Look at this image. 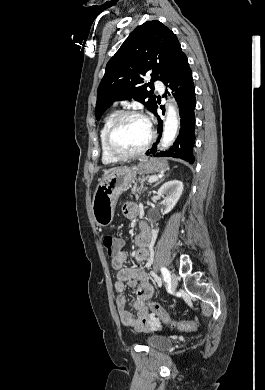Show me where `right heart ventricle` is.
Here are the masks:
<instances>
[{
    "instance_id": "e07e8e85",
    "label": "right heart ventricle",
    "mask_w": 265,
    "mask_h": 390,
    "mask_svg": "<svg viewBox=\"0 0 265 390\" xmlns=\"http://www.w3.org/2000/svg\"><path fill=\"white\" fill-rule=\"evenodd\" d=\"M118 115V111L114 110L110 112L103 121L101 130H100V147H101V160L104 164H113L119 161L116 157H114L107 149L106 146V133L115 119V117Z\"/></svg>"
}]
</instances>
